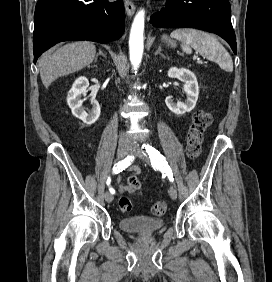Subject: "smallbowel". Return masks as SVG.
<instances>
[{
	"label": "small bowel",
	"mask_w": 272,
	"mask_h": 282,
	"mask_svg": "<svg viewBox=\"0 0 272 282\" xmlns=\"http://www.w3.org/2000/svg\"><path fill=\"white\" fill-rule=\"evenodd\" d=\"M134 174L140 173V167L139 166H133L130 169ZM137 179V178H136ZM119 184V179L116 181V185ZM141 184L140 181L137 179L136 184H128V185H118V190L121 194H132L135 191H137L140 188Z\"/></svg>",
	"instance_id": "obj_1"
}]
</instances>
